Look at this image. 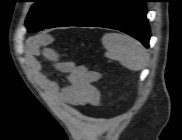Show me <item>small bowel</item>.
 <instances>
[{"label": "small bowel", "instance_id": "c3829d8e", "mask_svg": "<svg viewBox=\"0 0 182 140\" xmlns=\"http://www.w3.org/2000/svg\"><path fill=\"white\" fill-rule=\"evenodd\" d=\"M44 56L57 70L67 73L68 76L66 84L61 86L59 82L49 79L39 63L34 61V77L42 89L59 102L72 107L95 106L99 103L100 92L94 85L100 79L98 72L83 65H76L74 62L61 61L59 54L52 49H46Z\"/></svg>", "mask_w": 182, "mask_h": 140}]
</instances>
